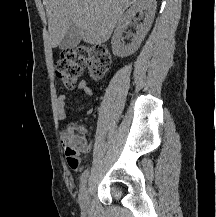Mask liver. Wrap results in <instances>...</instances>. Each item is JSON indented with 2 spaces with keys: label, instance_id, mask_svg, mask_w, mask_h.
<instances>
[{
  "label": "liver",
  "instance_id": "obj_1",
  "mask_svg": "<svg viewBox=\"0 0 216 217\" xmlns=\"http://www.w3.org/2000/svg\"><path fill=\"white\" fill-rule=\"evenodd\" d=\"M137 0H49L48 29L52 46L59 45L69 26L78 28L81 39L91 45L108 41L123 12Z\"/></svg>",
  "mask_w": 216,
  "mask_h": 217
}]
</instances>
